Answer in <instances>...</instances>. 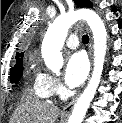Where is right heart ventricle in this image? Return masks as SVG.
Returning a JSON list of instances; mask_svg holds the SVG:
<instances>
[{
  "label": "right heart ventricle",
  "mask_w": 122,
  "mask_h": 123,
  "mask_svg": "<svg viewBox=\"0 0 122 123\" xmlns=\"http://www.w3.org/2000/svg\"><path fill=\"white\" fill-rule=\"evenodd\" d=\"M31 95L38 100H46L50 96L41 80L40 74H36L34 77Z\"/></svg>",
  "instance_id": "1"
}]
</instances>
